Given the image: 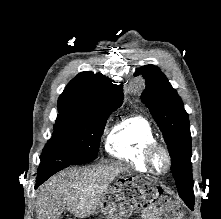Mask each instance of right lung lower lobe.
I'll list each match as a JSON object with an SVG mask.
<instances>
[{
    "instance_id": "right-lung-lower-lobe-1",
    "label": "right lung lower lobe",
    "mask_w": 221,
    "mask_h": 219,
    "mask_svg": "<svg viewBox=\"0 0 221 219\" xmlns=\"http://www.w3.org/2000/svg\"><path fill=\"white\" fill-rule=\"evenodd\" d=\"M68 166H69V164L63 163L60 161L41 162L39 169H38V173H37L35 188H37L40 184H42L44 181H46L54 173L66 168Z\"/></svg>"
}]
</instances>
